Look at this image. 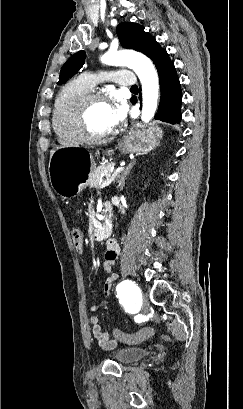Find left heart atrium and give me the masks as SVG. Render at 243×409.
I'll return each mask as SVG.
<instances>
[{"label":"left heart atrium","mask_w":243,"mask_h":409,"mask_svg":"<svg viewBox=\"0 0 243 409\" xmlns=\"http://www.w3.org/2000/svg\"><path fill=\"white\" fill-rule=\"evenodd\" d=\"M125 118V107L121 103H117L114 106H111V116L110 123L112 129L117 127Z\"/></svg>","instance_id":"obj_1"}]
</instances>
